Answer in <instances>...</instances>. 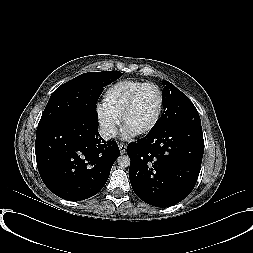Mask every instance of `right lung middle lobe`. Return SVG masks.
Returning a JSON list of instances; mask_svg holds the SVG:
<instances>
[{"mask_svg":"<svg viewBox=\"0 0 253 253\" xmlns=\"http://www.w3.org/2000/svg\"><path fill=\"white\" fill-rule=\"evenodd\" d=\"M121 75L120 71L88 72L62 84L52 93L38 128L70 118L97 123L96 104L103 88Z\"/></svg>","mask_w":253,"mask_h":253,"instance_id":"obj_1","label":"right lung middle lobe"}]
</instances>
